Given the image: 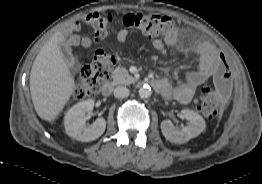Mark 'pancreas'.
<instances>
[{"instance_id":"cf45deb5","label":"pancreas","mask_w":262,"mask_h":184,"mask_svg":"<svg viewBox=\"0 0 262 184\" xmlns=\"http://www.w3.org/2000/svg\"><path fill=\"white\" fill-rule=\"evenodd\" d=\"M113 84L114 85H119V84H124V85H129L131 83L135 82V79L131 77L126 70V68H116L113 72Z\"/></svg>"}]
</instances>
